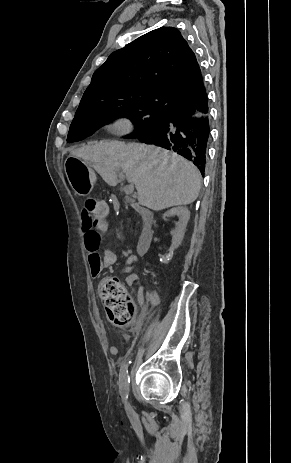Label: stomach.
<instances>
[{"mask_svg": "<svg viewBox=\"0 0 291 463\" xmlns=\"http://www.w3.org/2000/svg\"><path fill=\"white\" fill-rule=\"evenodd\" d=\"M66 176L76 194L86 196L93 189L95 178L86 157H69L64 164Z\"/></svg>", "mask_w": 291, "mask_h": 463, "instance_id": "stomach-1", "label": "stomach"}]
</instances>
